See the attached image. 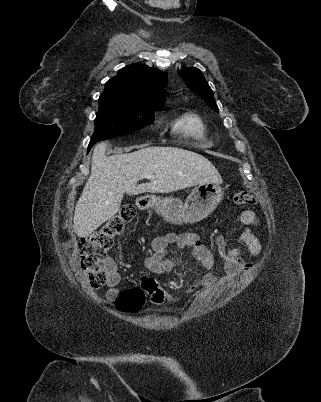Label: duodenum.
Returning <instances> with one entry per match:
<instances>
[{
  "label": "duodenum",
  "instance_id": "obj_1",
  "mask_svg": "<svg viewBox=\"0 0 321 402\" xmlns=\"http://www.w3.org/2000/svg\"><path fill=\"white\" fill-rule=\"evenodd\" d=\"M149 203L150 201L146 197H140L136 200V206L141 210L146 208L149 205Z\"/></svg>",
  "mask_w": 321,
  "mask_h": 402
}]
</instances>
